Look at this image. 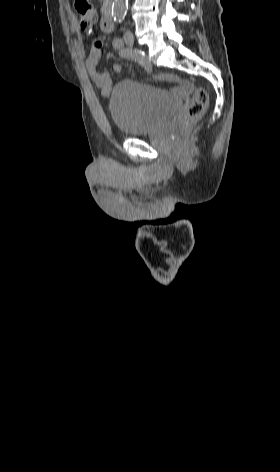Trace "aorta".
I'll list each match as a JSON object with an SVG mask.
<instances>
[{
    "label": "aorta",
    "mask_w": 280,
    "mask_h": 472,
    "mask_svg": "<svg viewBox=\"0 0 280 472\" xmlns=\"http://www.w3.org/2000/svg\"><path fill=\"white\" fill-rule=\"evenodd\" d=\"M128 9V0H114L112 5V16L115 21H119L125 17Z\"/></svg>",
    "instance_id": "obj_1"
}]
</instances>
